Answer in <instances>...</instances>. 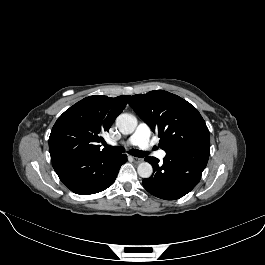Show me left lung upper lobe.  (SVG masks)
I'll return each mask as SVG.
<instances>
[{"label": "left lung upper lobe", "mask_w": 265, "mask_h": 265, "mask_svg": "<svg viewBox=\"0 0 265 265\" xmlns=\"http://www.w3.org/2000/svg\"><path fill=\"white\" fill-rule=\"evenodd\" d=\"M129 105L158 133L159 145L166 153L210 144L209 130L198 110L175 94L155 90L133 95Z\"/></svg>", "instance_id": "5c2ea615"}]
</instances>
